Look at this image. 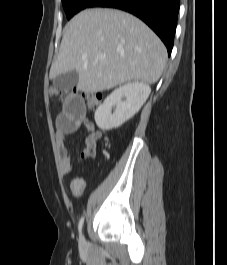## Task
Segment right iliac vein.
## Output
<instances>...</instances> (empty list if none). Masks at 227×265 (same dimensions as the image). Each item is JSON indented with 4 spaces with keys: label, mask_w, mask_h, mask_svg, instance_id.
<instances>
[{
    "label": "right iliac vein",
    "mask_w": 227,
    "mask_h": 265,
    "mask_svg": "<svg viewBox=\"0 0 227 265\" xmlns=\"http://www.w3.org/2000/svg\"><path fill=\"white\" fill-rule=\"evenodd\" d=\"M79 244L81 248L85 247V239L83 235L80 236Z\"/></svg>",
    "instance_id": "63e3f726"
}]
</instances>
